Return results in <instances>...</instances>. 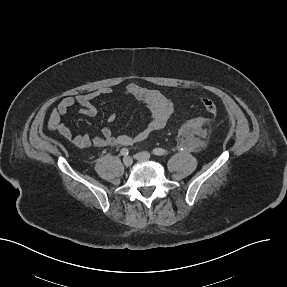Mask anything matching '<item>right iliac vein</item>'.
I'll use <instances>...</instances> for the list:
<instances>
[{"label": "right iliac vein", "instance_id": "obj_1", "mask_svg": "<svg viewBox=\"0 0 287 287\" xmlns=\"http://www.w3.org/2000/svg\"><path fill=\"white\" fill-rule=\"evenodd\" d=\"M133 163V160L131 157L127 156V157H124L123 159V164L126 166V167H130Z\"/></svg>", "mask_w": 287, "mask_h": 287}]
</instances>
